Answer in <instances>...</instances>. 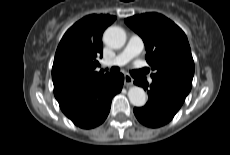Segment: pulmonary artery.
<instances>
[{
  "label": "pulmonary artery",
  "mask_w": 230,
  "mask_h": 155,
  "mask_svg": "<svg viewBox=\"0 0 230 155\" xmlns=\"http://www.w3.org/2000/svg\"><path fill=\"white\" fill-rule=\"evenodd\" d=\"M144 43L137 35H132L126 47L113 59L104 61V66H122L137 57L143 50Z\"/></svg>",
  "instance_id": "e3ab8cb5"
}]
</instances>
